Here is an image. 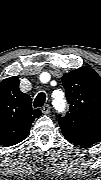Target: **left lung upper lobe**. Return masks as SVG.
I'll list each match as a JSON object with an SVG mask.
<instances>
[{
    "label": "left lung upper lobe",
    "mask_w": 101,
    "mask_h": 180,
    "mask_svg": "<svg viewBox=\"0 0 101 180\" xmlns=\"http://www.w3.org/2000/svg\"><path fill=\"white\" fill-rule=\"evenodd\" d=\"M62 83L69 112L58 116L65 138L79 146H90L101 139V77L83 66L64 74Z\"/></svg>",
    "instance_id": "1"
}]
</instances>
